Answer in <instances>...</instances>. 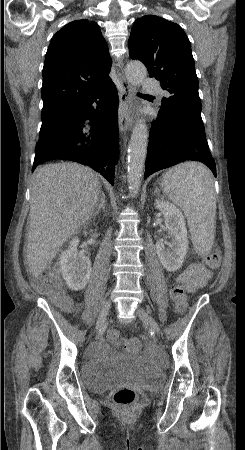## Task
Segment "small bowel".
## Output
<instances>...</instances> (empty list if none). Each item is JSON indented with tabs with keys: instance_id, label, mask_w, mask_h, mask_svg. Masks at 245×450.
Here are the masks:
<instances>
[{
	"instance_id": "c3829d8e",
	"label": "small bowel",
	"mask_w": 245,
	"mask_h": 450,
	"mask_svg": "<svg viewBox=\"0 0 245 450\" xmlns=\"http://www.w3.org/2000/svg\"><path fill=\"white\" fill-rule=\"evenodd\" d=\"M211 276L212 272L209 269L201 265H192L179 275L178 281L191 291L204 286ZM101 343L104 344V342Z\"/></svg>"
}]
</instances>
